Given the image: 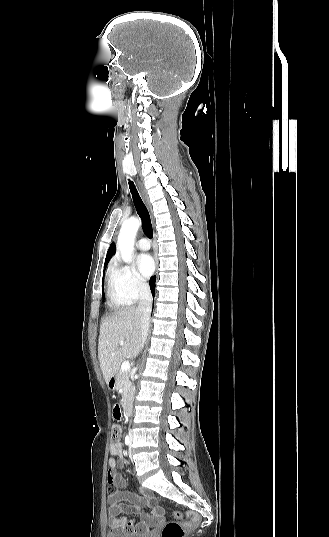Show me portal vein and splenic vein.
Masks as SVG:
<instances>
[{
	"instance_id": "portal-vein-and-splenic-vein-1",
	"label": "portal vein and splenic vein",
	"mask_w": 329,
	"mask_h": 537,
	"mask_svg": "<svg viewBox=\"0 0 329 537\" xmlns=\"http://www.w3.org/2000/svg\"><path fill=\"white\" fill-rule=\"evenodd\" d=\"M123 345H124V343L121 342L120 346H123ZM121 369H122V371H128L130 369V362L129 361H124L122 363V365H121Z\"/></svg>"
}]
</instances>
